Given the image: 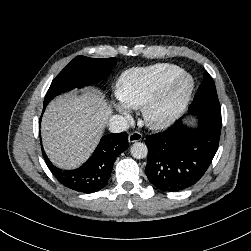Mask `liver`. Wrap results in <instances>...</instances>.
Here are the masks:
<instances>
[{
    "mask_svg": "<svg viewBox=\"0 0 251 251\" xmlns=\"http://www.w3.org/2000/svg\"><path fill=\"white\" fill-rule=\"evenodd\" d=\"M112 113L103 95L85 90L51 101L44 113L41 134L49 159L72 169L85 162L96 147Z\"/></svg>",
    "mask_w": 251,
    "mask_h": 251,
    "instance_id": "1",
    "label": "liver"
}]
</instances>
